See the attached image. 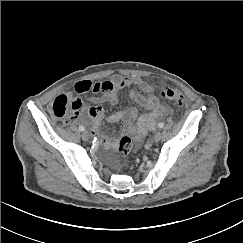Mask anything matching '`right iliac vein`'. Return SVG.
Returning a JSON list of instances; mask_svg holds the SVG:
<instances>
[{"instance_id": "obj_1", "label": "right iliac vein", "mask_w": 243, "mask_h": 243, "mask_svg": "<svg viewBox=\"0 0 243 243\" xmlns=\"http://www.w3.org/2000/svg\"><path fill=\"white\" fill-rule=\"evenodd\" d=\"M81 137L84 141H89V134L86 131L82 133Z\"/></svg>"}]
</instances>
